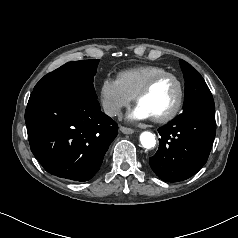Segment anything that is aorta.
<instances>
[{"instance_id":"1","label":"aorta","mask_w":238,"mask_h":238,"mask_svg":"<svg viewBox=\"0 0 238 238\" xmlns=\"http://www.w3.org/2000/svg\"><path fill=\"white\" fill-rule=\"evenodd\" d=\"M140 143L146 149H152L156 145L155 134L149 131H143L140 134Z\"/></svg>"}]
</instances>
